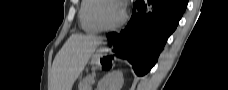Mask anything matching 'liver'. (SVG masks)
<instances>
[{"mask_svg":"<svg viewBox=\"0 0 228 90\" xmlns=\"http://www.w3.org/2000/svg\"><path fill=\"white\" fill-rule=\"evenodd\" d=\"M101 43V37L72 34L53 61V90H71L74 82Z\"/></svg>","mask_w":228,"mask_h":90,"instance_id":"1","label":"liver"}]
</instances>
